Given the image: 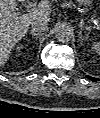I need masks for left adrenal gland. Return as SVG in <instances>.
Masks as SVG:
<instances>
[{
  "label": "left adrenal gland",
  "mask_w": 100,
  "mask_h": 118,
  "mask_svg": "<svg viewBox=\"0 0 100 118\" xmlns=\"http://www.w3.org/2000/svg\"><path fill=\"white\" fill-rule=\"evenodd\" d=\"M78 36H79V41H84L85 39H87V37H84L83 35H82V31L80 30L79 31V34H78Z\"/></svg>",
  "instance_id": "a2214340"
}]
</instances>
